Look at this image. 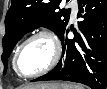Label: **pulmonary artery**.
<instances>
[{"label":"pulmonary artery","instance_id":"pulmonary-artery-1","mask_svg":"<svg viewBox=\"0 0 107 89\" xmlns=\"http://www.w3.org/2000/svg\"><path fill=\"white\" fill-rule=\"evenodd\" d=\"M70 6H71V8H72V14H71L72 19H75V18H76V15H77V11H78V6H77L76 1H72V2L70 3Z\"/></svg>","mask_w":107,"mask_h":89}]
</instances>
